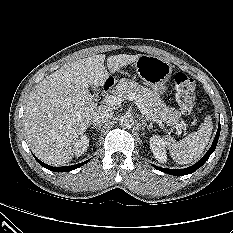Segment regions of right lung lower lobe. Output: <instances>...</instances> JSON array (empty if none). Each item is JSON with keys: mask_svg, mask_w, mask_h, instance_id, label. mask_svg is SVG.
Listing matches in <instances>:
<instances>
[{"mask_svg": "<svg viewBox=\"0 0 233 233\" xmlns=\"http://www.w3.org/2000/svg\"><path fill=\"white\" fill-rule=\"evenodd\" d=\"M34 156V155H33ZM35 157V156H34ZM35 159L45 168L54 171V172H65V171H71L74 170L82 165H84L85 163L89 162V160L76 164V165H72V166H64V167H53V166H49L43 162H41L38 158L35 157Z\"/></svg>", "mask_w": 233, "mask_h": 233, "instance_id": "98d812e1", "label": "right lung lower lobe"}]
</instances>
